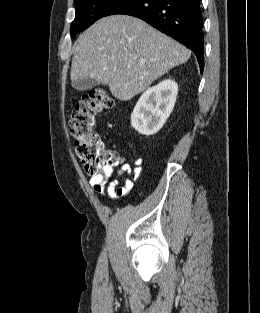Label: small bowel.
Returning <instances> with one entry per match:
<instances>
[{"mask_svg": "<svg viewBox=\"0 0 260 313\" xmlns=\"http://www.w3.org/2000/svg\"><path fill=\"white\" fill-rule=\"evenodd\" d=\"M139 163L140 160H137L136 164ZM123 169L127 170L129 176L124 179L122 185L118 181L110 182L107 178L102 176H92L89 179V184L100 196L107 194L113 201L117 202L121 197L127 195L128 190L139 178L141 173L139 168L131 170L129 166H125Z\"/></svg>", "mask_w": 260, "mask_h": 313, "instance_id": "1", "label": "small bowel"}]
</instances>
